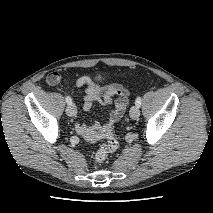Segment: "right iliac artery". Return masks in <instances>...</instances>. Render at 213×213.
Returning a JSON list of instances; mask_svg holds the SVG:
<instances>
[{
    "label": "right iliac artery",
    "instance_id": "1",
    "mask_svg": "<svg viewBox=\"0 0 213 213\" xmlns=\"http://www.w3.org/2000/svg\"><path fill=\"white\" fill-rule=\"evenodd\" d=\"M66 102H67V104H72V99H71V97L70 96H66Z\"/></svg>",
    "mask_w": 213,
    "mask_h": 213
}]
</instances>
